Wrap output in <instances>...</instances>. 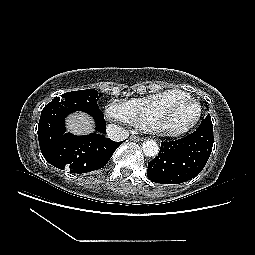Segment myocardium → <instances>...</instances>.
Returning <instances> with one entry per match:
<instances>
[{"label":"myocardium","mask_w":255,"mask_h":255,"mask_svg":"<svg viewBox=\"0 0 255 255\" xmlns=\"http://www.w3.org/2000/svg\"><path fill=\"white\" fill-rule=\"evenodd\" d=\"M179 102L189 103L190 105L194 106L195 114L192 117V119L186 124L176 128H172L164 124L163 117L165 113L169 111L173 105ZM201 112L202 110H201L200 104L194 98H192L190 94L187 93V94H184L182 97H178V98L170 100L163 107L158 109L155 112V114H153L152 117L149 119L145 128L148 132L159 135V136H165V137L180 136L188 132L190 129H192L196 125V123L201 117Z\"/></svg>","instance_id":"obj_1"}]
</instances>
